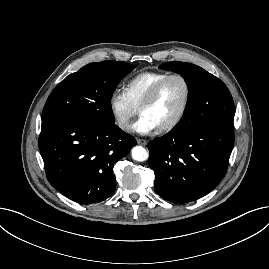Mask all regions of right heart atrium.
<instances>
[{
  "label": "right heart atrium",
  "instance_id": "right-heart-atrium-1",
  "mask_svg": "<svg viewBox=\"0 0 269 269\" xmlns=\"http://www.w3.org/2000/svg\"><path fill=\"white\" fill-rule=\"evenodd\" d=\"M109 111L118 128L127 130L132 118L137 114V108L129 101L125 92L114 90L108 100Z\"/></svg>",
  "mask_w": 269,
  "mask_h": 269
}]
</instances>
